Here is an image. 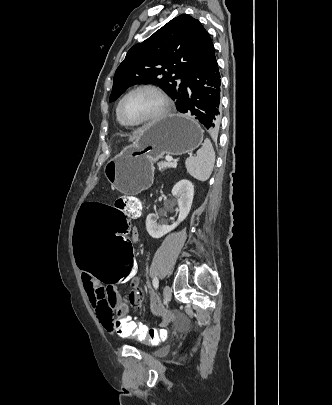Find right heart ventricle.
Returning <instances> with one entry per match:
<instances>
[{
    "instance_id": "e07e8e85",
    "label": "right heart ventricle",
    "mask_w": 332,
    "mask_h": 405,
    "mask_svg": "<svg viewBox=\"0 0 332 405\" xmlns=\"http://www.w3.org/2000/svg\"><path fill=\"white\" fill-rule=\"evenodd\" d=\"M116 118H117V121L119 122L120 125H122V126H127L126 124H124V123L119 119L118 114H117V108H116Z\"/></svg>"
}]
</instances>
